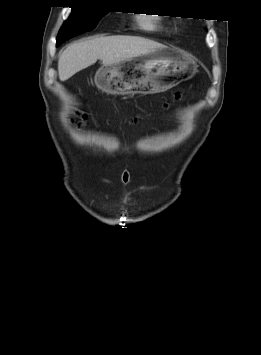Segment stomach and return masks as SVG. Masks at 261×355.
I'll use <instances>...</instances> for the list:
<instances>
[{
    "mask_svg": "<svg viewBox=\"0 0 261 355\" xmlns=\"http://www.w3.org/2000/svg\"><path fill=\"white\" fill-rule=\"evenodd\" d=\"M187 53L164 46L131 59L103 65L95 74L97 87L112 95L164 92L197 72Z\"/></svg>",
    "mask_w": 261,
    "mask_h": 355,
    "instance_id": "stomach-1",
    "label": "stomach"
}]
</instances>
